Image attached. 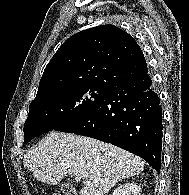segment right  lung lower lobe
Segmentation results:
<instances>
[{"mask_svg":"<svg viewBox=\"0 0 189 195\" xmlns=\"http://www.w3.org/2000/svg\"><path fill=\"white\" fill-rule=\"evenodd\" d=\"M56 131L95 138L161 166L162 108L146 72L110 88L90 110Z\"/></svg>","mask_w":189,"mask_h":195,"instance_id":"98d812e1","label":"right lung lower lobe"}]
</instances>
